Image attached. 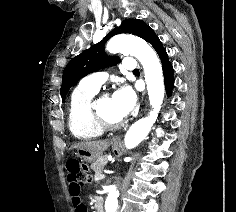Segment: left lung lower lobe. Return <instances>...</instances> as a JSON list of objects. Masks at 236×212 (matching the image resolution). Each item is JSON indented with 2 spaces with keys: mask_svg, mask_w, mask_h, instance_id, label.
I'll return each instance as SVG.
<instances>
[{
  "mask_svg": "<svg viewBox=\"0 0 236 212\" xmlns=\"http://www.w3.org/2000/svg\"><path fill=\"white\" fill-rule=\"evenodd\" d=\"M145 41L149 42L153 46V48L159 55V58L161 59L165 88L167 94L170 95L174 86L173 67L168 60V55L165 49L163 48L162 42L160 41V39L153 30L149 32Z\"/></svg>",
  "mask_w": 236,
  "mask_h": 212,
  "instance_id": "obj_1",
  "label": "left lung lower lobe"
}]
</instances>
